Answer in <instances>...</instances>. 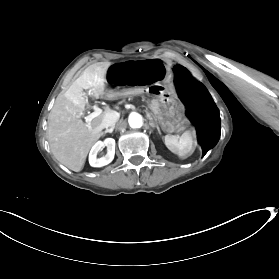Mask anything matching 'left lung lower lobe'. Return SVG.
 Wrapping results in <instances>:
<instances>
[{
  "mask_svg": "<svg viewBox=\"0 0 279 279\" xmlns=\"http://www.w3.org/2000/svg\"><path fill=\"white\" fill-rule=\"evenodd\" d=\"M174 83L179 98L189 110V117L201 132L203 155L213 148L220 138V116L207 89L181 65L174 67Z\"/></svg>",
  "mask_w": 279,
  "mask_h": 279,
  "instance_id": "1",
  "label": "left lung lower lobe"
}]
</instances>
